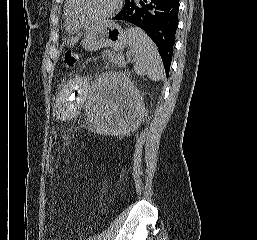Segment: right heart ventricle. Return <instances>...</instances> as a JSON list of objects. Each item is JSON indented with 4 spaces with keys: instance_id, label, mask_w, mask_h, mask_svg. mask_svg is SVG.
<instances>
[{
    "instance_id": "1",
    "label": "right heart ventricle",
    "mask_w": 257,
    "mask_h": 240,
    "mask_svg": "<svg viewBox=\"0 0 257 240\" xmlns=\"http://www.w3.org/2000/svg\"><path fill=\"white\" fill-rule=\"evenodd\" d=\"M64 22H65V28L69 33H76L79 31L80 28L74 25L69 19V16L67 14V3L64 8Z\"/></svg>"
}]
</instances>
